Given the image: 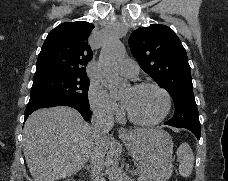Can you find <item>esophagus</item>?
I'll return each mask as SVG.
<instances>
[{
    "mask_svg": "<svg viewBox=\"0 0 228 181\" xmlns=\"http://www.w3.org/2000/svg\"><path fill=\"white\" fill-rule=\"evenodd\" d=\"M118 133L120 137L130 136V132L127 130V128H119Z\"/></svg>",
    "mask_w": 228,
    "mask_h": 181,
    "instance_id": "obj_1",
    "label": "esophagus"
}]
</instances>
